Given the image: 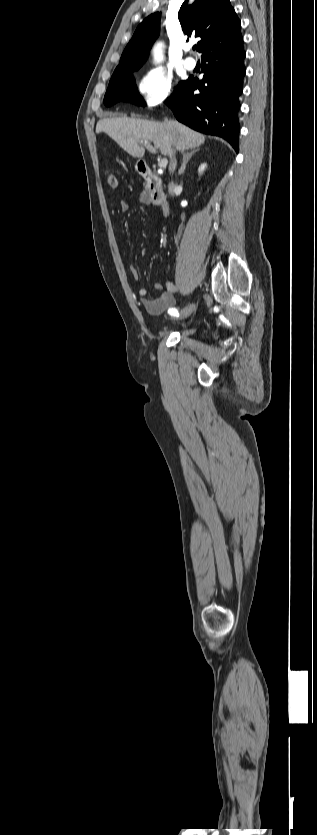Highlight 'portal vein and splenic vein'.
I'll return each mask as SVG.
<instances>
[{"mask_svg": "<svg viewBox=\"0 0 317 835\" xmlns=\"http://www.w3.org/2000/svg\"><path fill=\"white\" fill-rule=\"evenodd\" d=\"M142 144H143V145L147 148V150H148L149 152H151V153H156L155 148H153V146H151V145L149 144V142H147V141H143V142H142ZM167 164H168V160H167L166 158H163V159H161V160L159 161V164H158V165H159V167H160V168H165V167L167 166Z\"/></svg>", "mask_w": 317, "mask_h": 835, "instance_id": "1", "label": "portal vein and splenic vein"}]
</instances>
